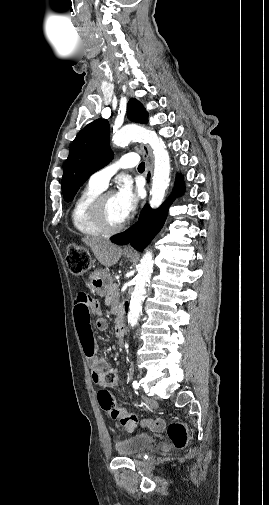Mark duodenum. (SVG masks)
<instances>
[{
    "instance_id": "1",
    "label": "duodenum",
    "mask_w": 269,
    "mask_h": 505,
    "mask_svg": "<svg viewBox=\"0 0 269 505\" xmlns=\"http://www.w3.org/2000/svg\"><path fill=\"white\" fill-rule=\"evenodd\" d=\"M125 330H126L125 322H124L123 318L120 317L118 319V321L116 323V327H115L116 337L119 341H123L124 336H125Z\"/></svg>"
}]
</instances>
